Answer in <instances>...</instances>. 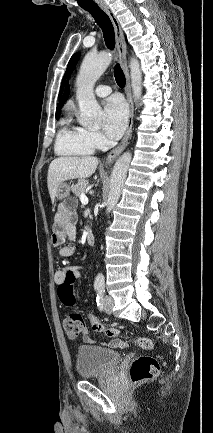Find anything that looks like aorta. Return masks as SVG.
Segmentation results:
<instances>
[{
	"instance_id": "obj_1",
	"label": "aorta",
	"mask_w": 213,
	"mask_h": 433,
	"mask_svg": "<svg viewBox=\"0 0 213 433\" xmlns=\"http://www.w3.org/2000/svg\"><path fill=\"white\" fill-rule=\"evenodd\" d=\"M111 60L112 56L110 53L101 52L97 55L87 54L82 62L76 81V96L80 109L79 122L83 126L96 127L99 125V113L101 108L95 99L93 88L96 81L111 63ZM129 67L133 97L134 101L137 102L142 94V73L138 60L131 58ZM131 159L132 154L125 152L114 165L107 200V213L114 208L120 198ZM104 286V276L98 274L94 281V287L104 288Z\"/></svg>"
}]
</instances>
